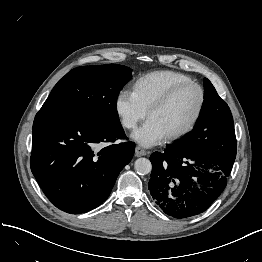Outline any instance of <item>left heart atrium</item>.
Returning a JSON list of instances; mask_svg holds the SVG:
<instances>
[{
    "instance_id": "1",
    "label": "left heart atrium",
    "mask_w": 262,
    "mask_h": 262,
    "mask_svg": "<svg viewBox=\"0 0 262 262\" xmlns=\"http://www.w3.org/2000/svg\"><path fill=\"white\" fill-rule=\"evenodd\" d=\"M131 136L136 142L145 147L156 145L166 138L163 130L151 118L134 131Z\"/></svg>"
}]
</instances>
